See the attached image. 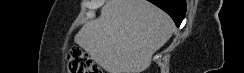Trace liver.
<instances>
[{
    "instance_id": "1",
    "label": "liver",
    "mask_w": 244,
    "mask_h": 73,
    "mask_svg": "<svg viewBox=\"0 0 244 73\" xmlns=\"http://www.w3.org/2000/svg\"><path fill=\"white\" fill-rule=\"evenodd\" d=\"M174 29L171 17L146 0H108L74 41L107 73H142Z\"/></svg>"
}]
</instances>
